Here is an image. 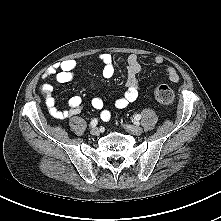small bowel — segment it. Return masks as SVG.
<instances>
[{
  "instance_id": "small-bowel-1",
  "label": "small bowel",
  "mask_w": 221,
  "mask_h": 221,
  "mask_svg": "<svg viewBox=\"0 0 221 221\" xmlns=\"http://www.w3.org/2000/svg\"><path fill=\"white\" fill-rule=\"evenodd\" d=\"M99 59L102 63V75L104 78H111L114 75L115 68L111 54L102 53L99 55ZM164 62L161 56L155 58V63L160 65ZM77 67V61L74 59H67L60 64L50 68L44 75L42 84V91L46 94L45 104L48 112L51 116L57 119H65L75 115H78L83 106L82 98L79 95H75L69 99L68 108L65 110H59L55 106V101L51 97L53 86L46 80L55 75V79L58 83H68L75 78V70ZM140 64L135 54H130L127 57V80L126 90L122 96L115 100V107L118 109L126 108L130 103L134 102L138 97V81L137 75L140 72ZM166 74L169 81L176 83L179 81V74L174 67H167ZM91 105L94 109L101 111L100 117L103 121L107 122L111 119V112L104 109V101L101 97H94L91 100Z\"/></svg>"
}]
</instances>
